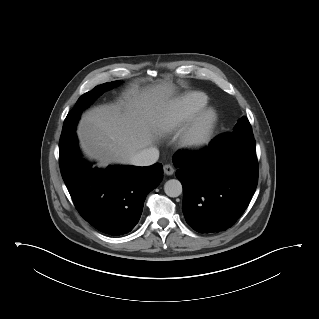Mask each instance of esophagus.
Listing matches in <instances>:
<instances>
[{
  "label": "esophagus",
  "instance_id": "obj_1",
  "mask_svg": "<svg viewBox=\"0 0 319 319\" xmlns=\"http://www.w3.org/2000/svg\"><path fill=\"white\" fill-rule=\"evenodd\" d=\"M163 170H164V173L168 176L173 175V173L175 171L174 167L170 164L164 165Z\"/></svg>",
  "mask_w": 319,
  "mask_h": 319
}]
</instances>
